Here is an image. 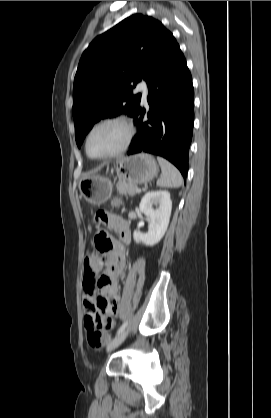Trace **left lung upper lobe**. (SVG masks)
I'll use <instances>...</instances> for the list:
<instances>
[{
	"instance_id": "1",
	"label": "left lung upper lobe",
	"mask_w": 271,
	"mask_h": 418,
	"mask_svg": "<svg viewBox=\"0 0 271 418\" xmlns=\"http://www.w3.org/2000/svg\"><path fill=\"white\" fill-rule=\"evenodd\" d=\"M173 35L158 20L134 14L96 37L84 51L74 78L73 118L78 147L101 118L134 117L141 94L162 61ZM133 85V86H132Z\"/></svg>"
}]
</instances>
